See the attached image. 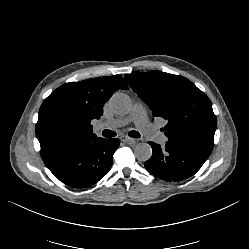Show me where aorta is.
I'll list each match as a JSON object with an SVG mask.
<instances>
[{
    "mask_svg": "<svg viewBox=\"0 0 249 249\" xmlns=\"http://www.w3.org/2000/svg\"><path fill=\"white\" fill-rule=\"evenodd\" d=\"M109 106L114 113L126 115L132 108V101L128 95L117 92L110 98ZM134 154L139 161H147L152 156V148L148 143H138L135 146Z\"/></svg>",
    "mask_w": 249,
    "mask_h": 249,
    "instance_id": "obj_1",
    "label": "aorta"
}]
</instances>
